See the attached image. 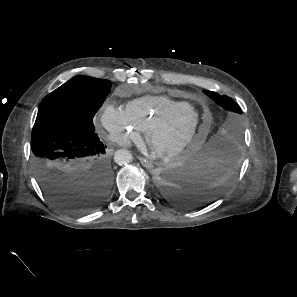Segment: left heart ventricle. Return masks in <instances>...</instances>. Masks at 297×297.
Returning <instances> with one entry per match:
<instances>
[{"instance_id":"left-heart-ventricle-1","label":"left heart ventricle","mask_w":297,"mask_h":297,"mask_svg":"<svg viewBox=\"0 0 297 297\" xmlns=\"http://www.w3.org/2000/svg\"><path fill=\"white\" fill-rule=\"evenodd\" d=\"M197 114L185 112L178 118L168 122L153 136V145L156 149L168 150L183 142L197 123Z\"/></svg>"}]
</instances>
